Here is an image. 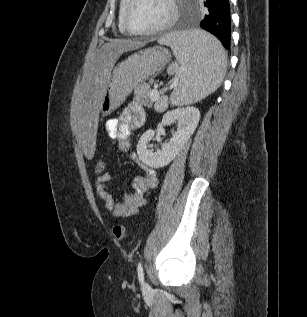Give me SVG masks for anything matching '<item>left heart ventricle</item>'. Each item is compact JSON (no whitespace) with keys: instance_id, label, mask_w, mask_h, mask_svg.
<instances>
[{"instance_id":"1","label":"left heart ventricle","mask_w":307,"mask_h":317,"mask_svg":"<svg viewBox=\"0 0 307 317\" xmlns=\"http://www.w3.org/2000/svg\"><path fill=\"white\" fill-rule=\"evenodd\" d=\"M168 0H135L128 20L134 30H149L162 24L170 15Z\"/></svg>"}]
</instances>
